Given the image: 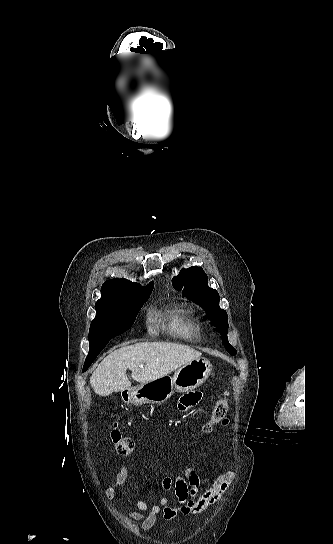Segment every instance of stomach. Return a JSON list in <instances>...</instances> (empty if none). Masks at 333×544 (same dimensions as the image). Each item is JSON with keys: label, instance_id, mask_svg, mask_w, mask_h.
<instances>
[{"label": "stomach", "instance_id": "stomach-1", "mask_svg": "<svg viewBox=\"0 0 333 544\" xmlns=\"http://www.w3.org/2000/svg\"><path fill=\"white\" fill-rule=\"evenodd\" d=\"M211 371L212 365L207 359L197 358L181 366L172 378L163 376L126 390L124 400L135 406L161 404L175 391L186 392L197 388L206 381Z\"/></svg>", "mask_w": 333, "mask_h": 544}]
</instances>
